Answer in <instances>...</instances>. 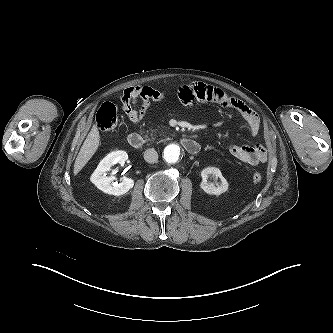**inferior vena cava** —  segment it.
Instances as JSON below:
<instances>
[{"mask_svg":"<svg viewBox=\"0 0 333 333\" xmlns=\"http://www.w3.org/2000/svg\"><path fill=\"white\" fill-rule=\"evenodd\" d=\"M144 160L148 163H156L158 160V153L154 148H149L144 152Z\"/></svg>","mask_w":333,"mask_h":333,"instance_id":"602c4592","label":"inferior vena cava"}]
</instances>
